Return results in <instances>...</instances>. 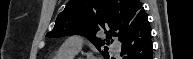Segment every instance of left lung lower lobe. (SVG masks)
I'll use <instances>...</instances> for the list:
<instances>
[{
	"instance_id": "left-lung-lower-lobe-1",
	"label": "left lung lower lobe",
	"mask_w": 193,
	"mask_h": 59,
	"mask_svg": "<svg viewBox=\"0 0 193 59\" xmlns=\"http://www.w3.org/2000/svg\"><path fill=\"white\" fill-rule=\"evenodd\" d=\"M120 41L123 59H153L151 27L145 11L135 17Z\"/></svg>"
}]
</instances>
